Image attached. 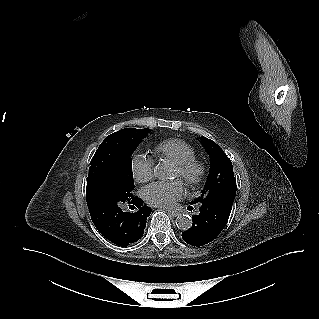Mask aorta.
<instances>
[{
  "label": "aorta",
  "instance_id": "aorta-1",
  "mask_svg": "<svg viewBox=\"0 0 319 319\" xmlns=\"http://www.w3.org/2000/svg\"><path fill=\"white\" fill-rule=\"evenodd\" d=\"M154 176L160 180H163L166 178L167 174L162 165H157L154 168ZM176 226L178 229L181 230H188L192 227V218L188 214H180L176 218Z\"/></svg>",
  "mask_w": 319,
  "mask_h": 319
}]
</instances>
